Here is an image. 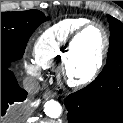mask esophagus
<instances>
[{"instance_id":"esophagus-1","label":"esophagus","mask_w":123,"mask_h":123,"mask_svg":"<svg viewBox=\"0 0 123 123\" xmlns=\"http://www.w3.org/2000/svg\"><path fill=\"white\" fill-rule=\"evenodd\" d=\"M55 97H56V93L53 92V91H50V90L46 91V92L43 94V98H44L45 100L50 99V98H55Z\"/></svg>"}]
</instances>
